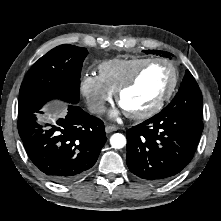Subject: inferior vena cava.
Masks as SVG:
<instances>
[{
	"label": "inferior vena cava",
	"mask_w": 221,
	"mask_h": 221,
	"mask_svg": "<svg viewBox=\"0 0 221 221\" xmlns=\"http://www.w3.org/2000/svg\"><path fill=\"white\" fill-rule=\"evenodd\" d=\"M105 104L103 101L92 102L88 105V110L94 114H102L105 112Z\"/></svg>",
	"instance_id": "obj_1"
}]
</instances>
